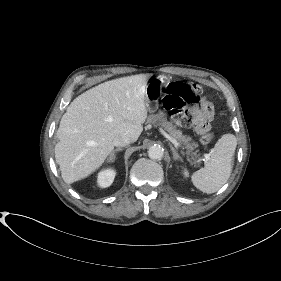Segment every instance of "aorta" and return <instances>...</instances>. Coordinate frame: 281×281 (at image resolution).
Instances as JSON below:
<instances>
[{
  "mask_svg": "<svg viewBox=\"0 0 281 281\" xmlns=\"http://www.w3.org/2000/svg\"><path fill=\"white\" fill-rule=\"evenodd\" d=\"M163 155H164V150L161 146L159 145H154V146H151L149 149H148V156L151 158V159H156V160H160L163 158Z\"/></svg>",
  "mask_w": 281,
  "mask_h": 281,
  "instance_id": "762f6f07",
  "label": "aorta"
}]
</instances>
